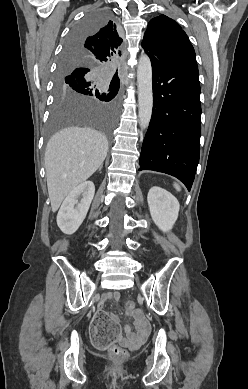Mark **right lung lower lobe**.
I'll return each mask as SVG.
<instances>
[{"label":"right lung lower lobe","instance_id":"obj_1","mask_svg":"<svg viewBox=\"0 0 248 389\" xmlns=\"http://www.w3.org/2000/svg\"><path fill=\"white\" fill-rule=\"evenodd\" d=\"M82 39H76V40H74V43H79L80 41H81ZM64 53L66 54V55H70L71 54V51H64ZM69 57V56H68ZM71 59V58H70ZM80 70H74L70 75H69V77H71V78H74V77H76L77 75H79V74H81V73H87V72H85L84 71V69H87V68H79ZM89 70V69H88ZM119 85H120V82L118 81L117 82Z\"/></svg>","mask_w":248,"mask_h":389}]
</instances>
